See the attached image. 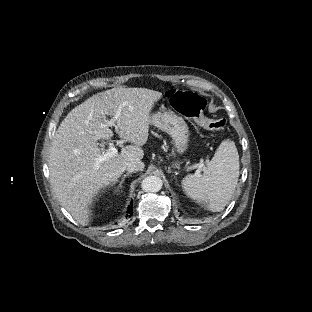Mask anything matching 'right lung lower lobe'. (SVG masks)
Masks as SVG:
<instances>
[{
	"label": "right lung lower lobe",
	"mask_w": 312,
	"mask_h": 312,
	"mask_svg": "<svg viewBox=\"0 0 312 312\" xmlns=\"http://www.w3.org/2000/svg\"><path fill=\"white\" fill-rule=\"evenodd\" d=\"M132 212H133V204L131 202V205L129 206L127 213H129L131 215Z\"/></svg>",
	"instance_id": "98d812e1"
}]
</instances>
